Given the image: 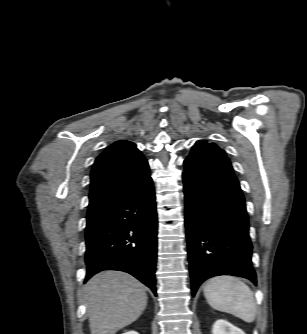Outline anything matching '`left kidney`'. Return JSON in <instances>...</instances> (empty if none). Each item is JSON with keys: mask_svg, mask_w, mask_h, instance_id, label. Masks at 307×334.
<instances>
[{"mask_svg": "<svg viewBox=\"0 0 307 334\" xmlns=\"http://www.w3.org/2000/svg\"><path fill=\"white\" fill-rule=\"evenodd\" d=\"M212 334H245L241 329L235 327L223 319L217 320L213 324Z\"/></svg>", "mask_w": 307, "mask_h": 334, "instance_id": "obj_1", "label": "left kidney"}]
</instances>
